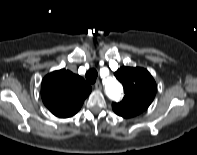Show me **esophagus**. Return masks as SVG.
<instances>
[{"label": "esophagus", "mask_w": 197, "mask_h": 155, "mask_svg": "<svg viewBox=\"0 0 197 155\" xmlns=\"http://www.w3.org/2000/svg\"><path fill=\"white\" fill-rule=\"evenodd\" d=\"M95 88L97 89V90H101L102 89V84L98 81V82H96L95 83Z\"/></svg>", "instance_id": "obj_1"}]
</instances>
